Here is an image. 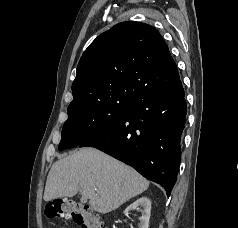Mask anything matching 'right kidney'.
<instances>
[{
    "mask_svg": "<svg viewBox=\"0 0 238 228\" xmlns=\"http://www.w3.org/2000/svg\"><path fill=\"white\" fill-rule=\"evenodd\" d=\"M140 210L142 215L139 218L140 223L138 224L139 228H148L149 227V219H150V213H151V201L147 197H141L137 199L134 203L129 205L126 210L124 211V214L128 216L129 211L131 210ZM133 228V227H131Z\"/></svg>",
    "mask_w": 238,
    "mask_h": 228,
    "instance_id": "1",
    "label": "right kidney"
}]
</instances>
